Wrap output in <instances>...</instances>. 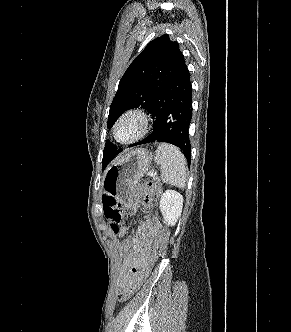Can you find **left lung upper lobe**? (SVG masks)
<instances>
[{
	"label": "left lung upper lobe",
	"instance_id": "left-lung-upper-lobe-1",
	"mask_svg": "<svg viewBox=\"0 0 291 332\" xmlns=\"http://www.w3.org/2000/svg\"><path fill=\"white\" fill-rule=\"evenodd\" d=\"M183 54L177 42L167 34L152 40L127 68L109 111L107 127L127 110L141 107L150 110L157 95L174 74ZM117 149L107 141L103 151V168L116 156Z\"/></svg>",
	"mask_w": 291,
	"mask_h": 332
}]
</instances>
